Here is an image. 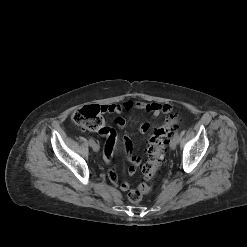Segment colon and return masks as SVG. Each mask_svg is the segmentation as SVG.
<instances>
[{"mask_svg":"<svg viewBox=\"0 0 247 247\" xmlns=\"http://www.w3.org/2000/svg\"><path fill=\"white\" fill-rule=\"evenodd\" d=\"M104 112V106L86 105L73 113L72 121L81 128L100 132L104 127ZM179 124L180 117L173 116L153 131L148 143V158L142 166V174L146 182L141 183L136 189L129 192L128 197L131 202L137 203L143 195L151 192L150 182L155 178L162 164L167 139L174 130L178 129Z\"/></svg>","mask_w":247,"mask_h":247,"instance_id":"5ec220e1","label":"colon"}]
</instances>
